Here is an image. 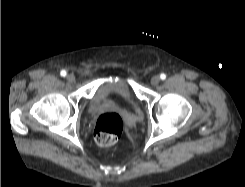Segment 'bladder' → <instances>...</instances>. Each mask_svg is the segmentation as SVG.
Returning a JSON list of instances; mask_svg holds the SVG:
<instances>
[{"label": "bladder", "mask_w": 245, "mask_h": 187, "mask_svg": "<svg viewBox=\"0 0 245 187\" xmlns=\"http://www.w3.org/2000/svg\"><path fill=\"white\" fill-rule=\"evenodd\" d=\"M114 95L125 98L129 107L136 106L130 88L123 79L100 83L90 99V105L94 110H101L103 108L123 110L129 115V110L122 109L115 103L113 100Z\"/></svg>", "instance_id": "1"}]
</instances>
